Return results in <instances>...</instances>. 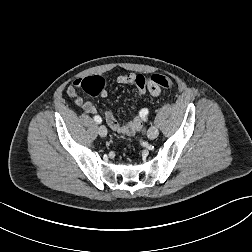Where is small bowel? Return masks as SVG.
I'll list each match as a JSON object with an SVG mask.
<instances>
[{
  "label": "small bowel",
  "instance_id": "obj_1",
  "mask_svg": "<svg viewBox=\"0 0 252 252\" xmlns=\"http://www.w3.org/2000/svg\"><path fill=\"white\" fill-rule=\"evenodd\" d=\"M137 75L133 73L123 74L118 76L117 81L121 84H130L135 85ZM81 78L75 79L66 89V93L69 97L74 100L76 106L81 107L87 114H95L97 110L95 106L89 102L84 101L77 93V89L81 87ZM148 91L152 96H158L160 94V88L152 83L148 82L147 85ZM108 90L105 87L101 92L103 98L107 97ZM105 120L108 126L115 132L121 133L124 135H134L137 131L142 128V122L138 116L130 120L125 124H121L113 112L106 110L105 111Z\"/></svg>",
  "mask_w": 252,
  "mask_h": 252
}]
</instances>
